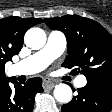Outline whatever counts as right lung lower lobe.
<instances>
[{
	"mask_svg": "<svg viewBox=\"0 0 112 112\" xmlns=\"http://www.w3.org/2000/svg\"><path fill=\"white\" fill-rule=\"evenodd\" d=\"M13 83L14 90L8 81L0 86V112H32L35 95L43 92L42 79L32 78L24 85Z\"/></svg>",
	"mask_w": 112,
	"mask_h": 112,
	"instance_id": "98d812e1",
	"label": "right lung lower lobe"
}]
</instances>
